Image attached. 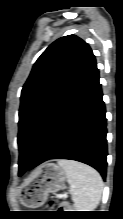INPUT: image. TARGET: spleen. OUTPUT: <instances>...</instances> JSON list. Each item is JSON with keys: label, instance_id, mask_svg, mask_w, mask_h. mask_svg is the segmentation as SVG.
Instances as JSON below:
<instances>
[{"label": "spleen", "instance_id": "3e777b00", "mask_svg": "<svg viewBox=\"0 0 123 219\" xmlns=\"http://www.w3.org/2000/svg\"><path fill=\"white\" fill-rule=\"evenodd\" d=\"M58 165L66 172L76 211H92L103 191L100 174L90 166L73 160H59Z\"/></svg>", "mask_w": 123, "mask_h": 219}]
</instances>
